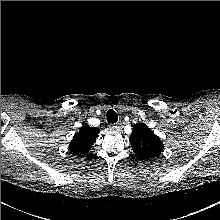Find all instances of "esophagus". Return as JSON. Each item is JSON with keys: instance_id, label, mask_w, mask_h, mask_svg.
Segmentation results:
<instances>
[{"instance_id": "1", "label": "esophagus", "mask_w": 220, "mask_h": 220, "mask_svg": "<svg viewBox=\"0 0 220 220\" xmlns=\"http://www.w3.org/2000/svg\"><path fill=\"white\" fill-rule=\"evenodd\" d=\"M122 128V124L120 123H114L110 125V129L112 130H120Z\"/></svg>"}]
</instances>
